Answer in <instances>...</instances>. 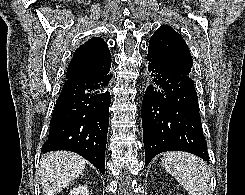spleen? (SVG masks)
Returning <instances> with one entry per match:
<instances>
[{
  "label": "spleen",
  "instance_id": "1",
  "mask_svg": "<svg viewBox=\"0 0 245 195\" xmlns=\"http://www.w3.org/2000/svg\"><path fill=\"white\" fill-rule=\"evenodd\" d=\"M161 165L189 195H208L210 174L203 160L186 152H167Z\"/></svg>",
  "mask_w": 245,
  "mask_h": 195
}]
</instances>
